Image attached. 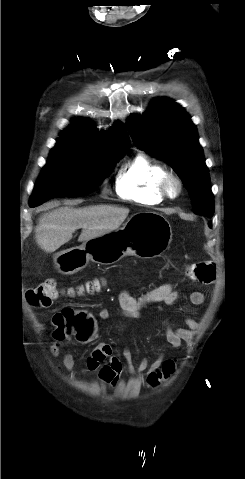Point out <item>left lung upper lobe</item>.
I'll list each match as a JSON object with an SVG mask.
<instances>
[{"instance_id": "1", "label": "left lung upper lobe", "mask_w": 245, "mask_h": 479, "mask_svg": "<svg viewBox=\"0 0 245 479\" xmlns=\"http://www.w3.org/2000/svg\"><path fill=\"white\" fill-rule=\"evenodd\" d=\"M132 122L128 129L134 144L172 166L188 189L195 213L213 216L214 196L203 150L184 109L167 98L155 99L147 113Z\"/></svg>"}]
</instances>
